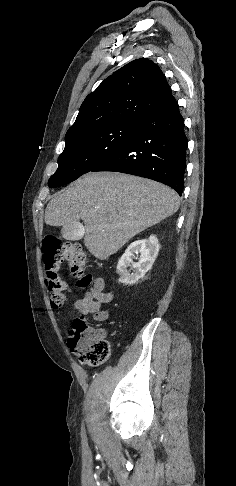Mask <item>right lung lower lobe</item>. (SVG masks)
<instances>
[{
  "label": "right lung lower lobe",
  "instance_id": "obj_1",
  "mask_svg": "<svg viewBox=\"0 0 236 486\" xmlns=\"http://www.w3.org/2000/svg\"><path fill=\"white\" fill-rule=\"evenodd\" d=\"M187 144L184 120L176 103L141 118L133 138L91 171L149 178L182 195Z\"/></svg>",
  "mask_w": 236,
  "mask_h": 486
}]
</instances>
